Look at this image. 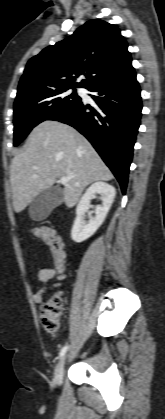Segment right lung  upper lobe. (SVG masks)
Segmentation results:
<instances>
[{"mask_svg": "<svg viewBox=\"0 0 165 419\" xmlns=\"http://www.w3.org/2000/svg\"><path fill=\"white\" fill-rule=\"evenodd\" d=\"M127 48L115 25L90 20L70 37L46 47L28 61L19 82L16 101L50 89H88L131 63ZM82 74L86 79L75 83Z\"/></svg>", "mask_w": 165, "mask_h": 419, "instance_id": "1", "label": "right lung upper lobe"}]
</instances>
